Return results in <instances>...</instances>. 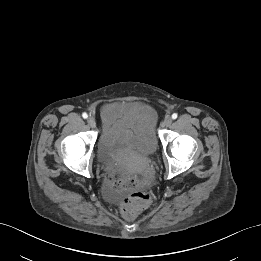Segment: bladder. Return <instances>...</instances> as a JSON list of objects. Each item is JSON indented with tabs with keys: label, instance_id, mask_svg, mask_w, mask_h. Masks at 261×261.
I'll return each mask as SVG.
<instances>
[{
	"label": "bladder",
	"instance_id": "1",
	"mask_svg": "<svg viewBox=\"0 0 261 261\" xmlns=\"http://www.w3.org/2000/svg\"><path fill=\"white\" fill-rule=\"evenodd\" d=\"M99 149L106 157L125 163L132 156L154 154L157 140L149 129H122L111 135L104 133L99 140Z\"/></svg>",
	"mask_w": 261,
	"mask_h": 261
}]
</instances>
